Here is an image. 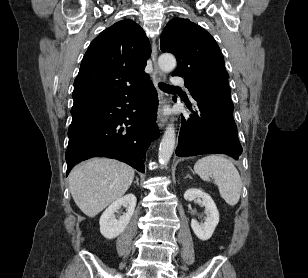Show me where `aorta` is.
I'll list each match as a JSON object with an SVG mask.
<instances>
[{"label":"aorta","mask_w":308,"mask_h":278,"mask_svg":"<svg viewBox=\"0 0 308 278\" xmlns=\"http://www.w3.org/2000/svg\"><path fill=\"white\" fill-rule=\"evenodd\" d=\"M158 65L163 72L168 73L175 69L176 59L171 54H162L158 58ZM175 136L174 125L169 124L164 132L159 147L158 160L162 166H166L172 156L175 146Z\"/></svg>","instance_id":"762f6f07"}]
</instances>
